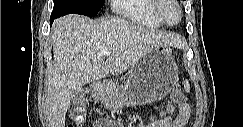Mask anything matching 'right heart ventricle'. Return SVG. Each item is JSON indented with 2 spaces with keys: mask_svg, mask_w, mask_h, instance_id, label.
Segmentation results:
<instances>
[{
  "mask_svg": "<svg viewBox=\"0 0 243 127\" xmlns=\"http://www.w3.org/2000/svg\"><path fill=\"white\" fill-rule=\"evenodd\" d=\"M154 0H115L113 10L130 23L149 29L162 28L154 16Z\"/></svg>",
  "mask_w": 243,
  "mask_h": 127,
  "instance_id": "e07e8e85",
  "label": "right heart ventricle"
}]
</instances>
